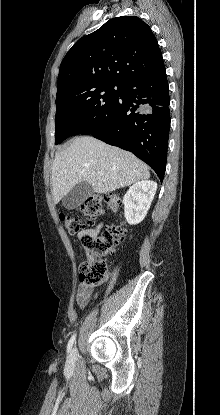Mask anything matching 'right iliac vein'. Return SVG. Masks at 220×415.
<instances>
[{
  "label": "right iliac vein",
  "mask_w": 220,
  "mask_h": 415,
  "mask_svg": "<svg viewBox=\"0 0 220 415\" xmlns=\"http://www.w3.org/2000/svg\"><path fill=\"white\" fill-rule=\"evenodd\" d=\"M75 349H73L71 352H70V354L68 355V358H67V363L69 364V363H71V362H73V360H74V358H75Z\"/></svg>",
  "instance_id": "1"
}]
</instances>
